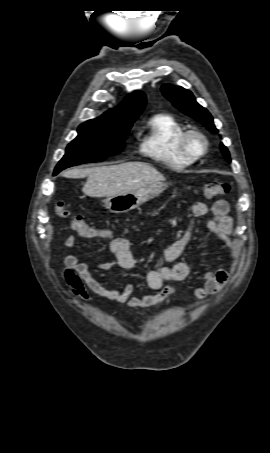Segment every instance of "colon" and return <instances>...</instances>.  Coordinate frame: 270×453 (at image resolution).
Masks as SVG:
<instances>
[{"instance_id": "5ec220e1", "label": "colon", "mask_w": 270, "mask_h": 453, "mask_svg": "<svg viewBox=\"0 0 270 453\" xmlns=\"http://www.w3.org/2000/svg\"><path fill=\"white\" fill-rule=\"evenodd\" d=\"M229 185L225 182H214L204 186L203 194L206 198H215L227 194ZM56 213L62 218H71L72 228L81 236L89 237L95 233L94 228L81 216H71L70 211L63 202L56 204Z\"/></svg>"}]
</instances>
